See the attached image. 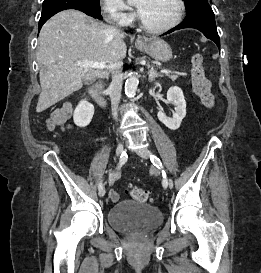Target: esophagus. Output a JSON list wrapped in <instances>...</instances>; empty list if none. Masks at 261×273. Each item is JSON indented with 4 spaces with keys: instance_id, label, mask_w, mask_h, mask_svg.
<instances>
[{
    "instance_id": "34e87169",
    "label": "esophagus",
    "mask_w": 261,
    "mask_h": 273,
    "mask_svg": "<svg viewBox=\"0 0 261 273\" xmlns=\"http://www.w3.org/2000/svg\"><path fill=\"white\" fill-rule=\"evenodd\" d=\"M138 41H140L141 40V37L140 36H138V39H137Z\"/></svg>"
}]
</instances>
